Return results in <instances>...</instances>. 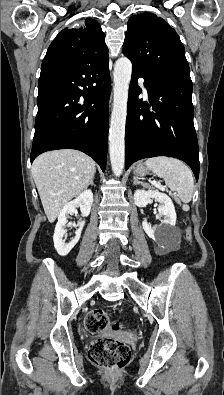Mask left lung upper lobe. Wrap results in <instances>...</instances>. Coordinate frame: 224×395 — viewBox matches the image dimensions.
I'll return each mask as SVG.
<instances>
[{"mask_svg": "<svg viewBox=\"0 0 224 395\" xmlns=\"http://www.w3.org/2000/svg\"><path fill=\"white\" fill-rule=\"evenodd\" d=\"M123 54L131 60L133 67L191 82L179 36L155 14L141 13L129 19Z\"/></svg>", "mask_w": 224, "mask_h": 395, "instance_id": "left-lung-upper-lobe-1", "label": "left lung upper lobe"}]
</instances>
